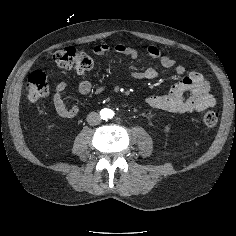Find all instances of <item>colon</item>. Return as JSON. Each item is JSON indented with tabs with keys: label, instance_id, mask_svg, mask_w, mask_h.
<instances>
[{
	"label": "colon",
	"instance_id": "colon-1",
	"mask_svg": "<svg viewBox=\"0 0 236 236\" xmlns=\"http://www.w3.org/2000/svg\"><path fill=\"white\" fill-rule=\"evenodd\" d=\"M51 56L60 68L74 70L79 74L86 73L93 66V61L88 54L73 47L58 49ZM26 89L28 99L33 102L48 95L50 85L46 75L40 71L33 72L28 78ZM218 119V113L215 111L209 110L203 114V122L209 127L215 126Z\"/></svg>",
	"mask_w": 236,
	"mask_h": 236
}]
</instances>
